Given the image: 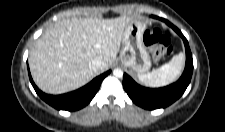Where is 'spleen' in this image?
I'll return each instance as SVG.
<instances>
[{
    "instance_id": "spleen-1",
    "label": "spleen",
    "mask_w": 225,
    "mask_h": 132,
    "mask_svg": "<svg viewBox=\"0 0 225 132\" xmlns=\"http://www.w3.org/2000/svg\"><path fill=\"white\" fill-rule=\"evenodd\" d=\"M184 61L185 55L181 52L178 55H174L168 63L153 70L151 73L138 74V80L145 86L152 88L167 86L179 78L184 67Z\"/></svg>"
}]
</instances>
